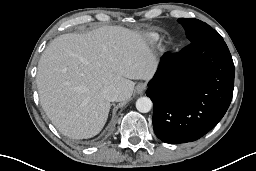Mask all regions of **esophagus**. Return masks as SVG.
Here are the masks:
<instances>
[{"instance_id": "esophagus-1", "label": "esophagus", "mask_w": 256, "mask_h": 171, "mask_svg": "<svg viewBox=\"0 0 256 171\" xmlns=\"http://www.w3.org/2000/svg\"><path fill=\"white\" fill-rule=\"evenodd\" d=\"M145 89H146V84L143 83V82L138 83V84L136 85V88H135V90H136V92H137L138 94H142Z\"/></svg>"}]
</instances>
